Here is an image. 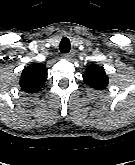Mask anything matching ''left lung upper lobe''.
Wrapping results in <instances>:
<instances>
[{
  "instance_id": "5c2ea615",
  "label": "left lung upper lobe",
  "mask_w": 135,
  "mask_h": 165,
  "mask_svg": "<svg viewBox=\"0 0 135 165\" xmlns=\"http://www.w3.org/2000/svg\"><path fill=\"white\" fill-rule=\"evenodd\" d=\"M83 81L92 88L105 89L108 85V76L102 67L92 65L86 69Z\"/></svg>"
}]
</instances>
